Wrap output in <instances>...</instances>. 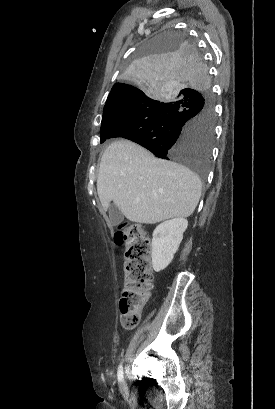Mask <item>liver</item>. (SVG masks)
Masks as SVG:
<instances>
[{
    "label": "liver",
    "mask_w": 275,
    "mask_h": 409,
    "mask_svg": "<svg viewBox=\"0 0 275 409\" xmlns=\"http://www.w3.org/2000/svg\"><path fill=\"white\" fill-rule=\"evenodd\" d=\"M201 190V180L190 168L156 158L131 140H114L102 154L97 176L101 205L107 211L113 200L133 223L190 217Z\"/></svg>",
    "instance_id": "1"
}]
</instances>
